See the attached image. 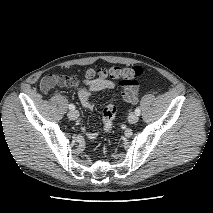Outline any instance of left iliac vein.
<instances>
[{
  "mask_svg": "<svg viewBox=\"0 0 213 213\" xmlns=\"http://www.w3.org/2000/svg\"><path fill=\"white\" fill-rule=\"evenodd\" d=\"M138 119H139L138 115L134 112L130 113L128 116V122L131 124L136 123Z\"/></svg>",
  "mask_w": 213,
  "mask_h": 213,
  "instance_id": "4c4485c4",
  "label": "left iliac vein"
}]
</instances>
